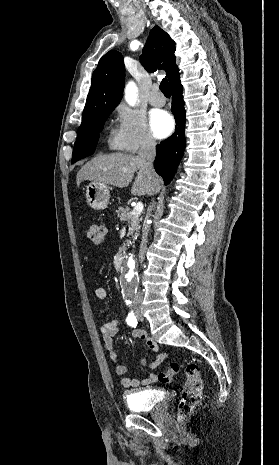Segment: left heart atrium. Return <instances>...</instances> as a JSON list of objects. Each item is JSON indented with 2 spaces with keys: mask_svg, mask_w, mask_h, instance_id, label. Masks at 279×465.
<instances>
[{
  "mask_svg": "<svg viewBox=\"0 0 279 465\" xmlns=\"http://www.w3.org/2000/svg\"><path fill=\"white\" fill-rule=\"evenodd\" d=\"M150 127L157 138H165L172 132L174 121L167 112L158 110L151 114Z\"/></svg>",
  "mask_w": 279,
  "mask_h": 465,
  "instance_id": "39dd6f15",
  "label": "left heart atrium"
}]
</instances>
